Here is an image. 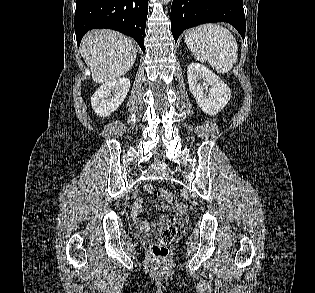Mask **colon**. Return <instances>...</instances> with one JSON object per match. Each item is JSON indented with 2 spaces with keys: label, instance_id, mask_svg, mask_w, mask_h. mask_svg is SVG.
Returning <instances> with one entry per match:
<instances>
[{
  "label": "colon",
  "instance_id": "1",
  "mask_svg": "<svg viewBox=\"0 0 315 293\" xmlns=\"http://www.w3.org/2000/svg\"><path fill=\"white\" fill-rule=\"evenodd\" d=\"M157 194L160 199L167 201L173 208H176L180 220L184 219L187 206L175 194L167 190H159ZM156 231L158 236L151 242L150 251L155 259L165 261L169 257V245L175 237L176 227L174 224H166Z\"/></svg>",
  "mask_w": 315,
  "mask_h": 293
}]
</instances>
